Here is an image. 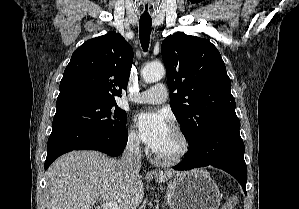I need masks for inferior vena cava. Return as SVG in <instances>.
Listing matches in <instances>:
<instances>
[{
  "label": "inferior vena cava",
  "mask_w": 299,
  "mask_h": 209,
  "mask_svg": "<svg viewBox=\"0 0 299 209\" xmlns=\"http://www.w3.org/2000/svg\"><path fill=\"white\" fill-rule=\"evenodd\" d=\"M142 154L138 138H129L126 148L122 154L121 162L130 171L134 172L141 168Z\"/></svg>",
  "instance_id": "1"
}]
</instances>
